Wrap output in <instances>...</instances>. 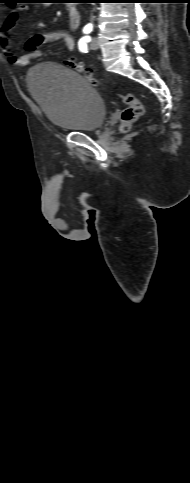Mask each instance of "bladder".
Instances as JSON below:
<instances>
[{
    "mask_svg": "<svg viewBox=\"0 0 190 483\" xmlns=\"http://www.w3.org/2000/svg\"><path fill=\"white\" fill-rule=\"evenodd\" d=\"M27 86L47 119L58 127L94 131L106 118V106L99 93L67 66L40 63L28 73Z\"/></svg>",
    "mask_w": 190,
    "mask_h": 483,
    "instance_id": "obj_1",
    "label": "bladder"
}]
</instances>
